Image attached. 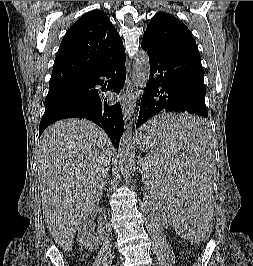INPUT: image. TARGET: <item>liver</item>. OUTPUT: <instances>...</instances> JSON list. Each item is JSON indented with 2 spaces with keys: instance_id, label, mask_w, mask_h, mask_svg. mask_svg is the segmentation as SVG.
I'll return each instance as SVG.
<instances>
[{
  "instance_id": "obj_1",
  "label": "liver",
  "mask_w": 253,
  "mask_h": 266,
  "mask_svg": "<svg viewBox=\"0 0 253 266\" xmlns=\"http://www.w3.org/2000/svg\"><path fill=\"white\" fill-rule=\"evenodd\" d=\"M111 141L96 124L66 119L50 125L38 142L42 211L50 235L65 251L96 209L111 156Z\"/></svg>"
}]
</instances>
